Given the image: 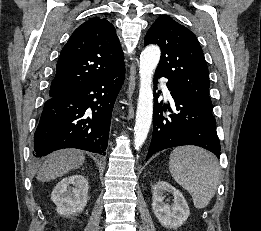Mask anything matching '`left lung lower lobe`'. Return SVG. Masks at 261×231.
I'll return each instance as SVG.
<instances>
[{"instance_id":"0a47b994","label":"left lung lower lobe","mask_w":261,"mask_h":231,"mask_svg":"<svg viewBox=\"0 0 261 231\" xmlns=\"http://www.w3.org/2000/svg\"><path fill=\"white\" fill-rule=\"evenodd\" d=\"M159 77L162 76L155 74V87ZM167 87L174 99L177 113L163 115L166 106H162V102L158 103V94H155L153 136L146 160L158 151L182 145L203 147L220 158L221 147L212 109L186 100L169 83ZM167 108L171 111L168 105Z\"/></svg>"}]
</instances>
